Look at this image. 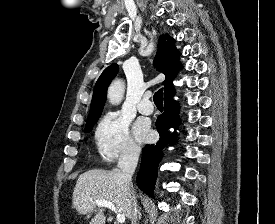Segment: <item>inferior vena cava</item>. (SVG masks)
<instances>
[{
    "label": "inferior vena cava",
    "instance_id": "602c4592",
    "mask_svg": "<svg viewBox=\"0 0 275 224\" xmlns=\"http://www.w3.org/2000/svg\"><path fill=\"white\" fill-rule=\"evenodd\" d=\"M140 149L128 147L122 151L118 161V168L122 172V179L127 188L131 210V224H137V200L132 184V176L137 167Z\"/></svg>",
    "mask_w": 275,
    "mask_h": 224
}]
</instances>
